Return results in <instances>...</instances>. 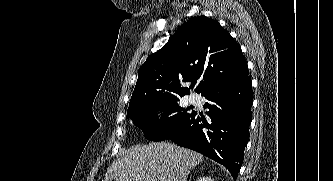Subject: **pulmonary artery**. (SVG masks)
<instances>
[{"label":"pulmonary artery","instance_id":"1","mask_svg":"<svg viewBox=\"0 0 333 181\" xmlns=\"http://www.w3.org/2000/svg\"><path fill=\"white\" fill-rule=\"evenodd\" d=\"M189 101H190L191 103H194V102L197 101V97H196L195 95H190V96H189Z\"/></svg>","mask_w":333,"mask_h":181}]
</instances>
